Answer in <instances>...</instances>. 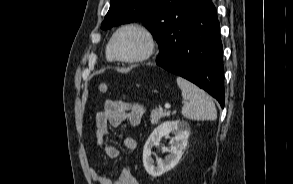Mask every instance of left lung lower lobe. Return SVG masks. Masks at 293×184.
I'll use <instances>...</instances> for the list:
<instances>
[{"mask_svg": "<svg viewBox=\"0 0 293 184\" xmlns=\"http://www.w3.org/2000/svg\"><path fill=\"white\" fill-rule=\"evenodd\" d=\"M156 63L204 89L224 107L223 48L212 0H181L176 5Z\"/></svg>", "mask_w": 293, "mask_h": 184, "instance_id": "0a47b994", "label": "left lung lower lobe"}]
</instances>
